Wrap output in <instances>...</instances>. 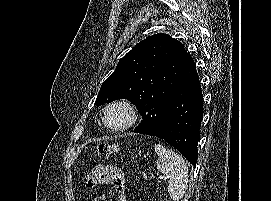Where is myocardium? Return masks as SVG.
Instances as JSON below:
<instances>
[{"instance_id":"f54148a6","label":"myocardium","mask_w":271,"mask_h":201,"mask_svg":"<svg viewBox=\"0 0 271 201\" xmlns=\"http://www.w3.org/2000/svg\"><path fill=\"white\" fill-rule=\"evenodd\" d=\"M116 107L123 108L126 111L127 116H128L127 121L119 127L111 126L107 122V119H106V116L109 110ZM137 121H138V112H137L136 107L130 101L125 100V99H119V100L110 102L109 104L105 106V108L102 111V122L104 126L108 130L113 131V132H122V131L128 130L131 127H133L137 123Z\"/></svg>"}]
</instances>
